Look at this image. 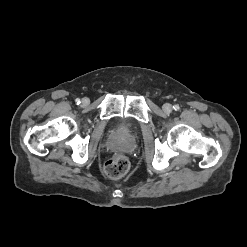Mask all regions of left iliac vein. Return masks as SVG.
Instances as JSON below:
<instances>
[{
	"instance_id": "4c4485c4",
	"label": "left iliac vein",
	"mask_w": 247,
	"mask_h": 247,
	"mask_svg": "<svg viewBox=\"0 0 247 247\" xmlns=\"http://www.w3.org/2000/svg\"><path fill=\"white\" fill-rule=\"evenodd\" d=\"M163 110H164L166 113H171V111H172V106H171V104L165 103V104L163 105Z\"/></svg>"
}]
</instances>
